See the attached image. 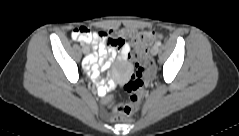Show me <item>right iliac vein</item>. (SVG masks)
<instances>
[{
	"label": "right iliac vein",
	"mask_w": 239,
	"mask_h": 136,
	"mask_svg": "<svg viewBox=\"0 0 239 136\" xmlns=\"http://www.w3.org/2000/svg\"><path fill=\"white\" fill-rule=\"evenodd\" d=\"M82 51H83V53L84 54H89V52H90V48H89V46H84L83 48H82Z\"/></svg>",
	"instance_id": "1"
}]
</instances>
